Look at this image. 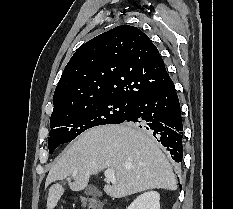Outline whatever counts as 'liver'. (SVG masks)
<instances>
[{
	"label": "liver",
	"mask_w": 233,
	"mask_h": 209,
	"mask_svg": "<svg viewBox=\"0 0 233 209\" xmlns=\"http://www.w3.org/2000/svg\"><path fill=\"white\" fill-rule=\"evenodd\" d=\"M113 169L116 183L104 186L107 195L122 198L150 189L176 190V178L166 156L149 133L132 124L105 125L87 130L58 158L45 186L67 178L72 191H81L89 177ZM60 183L50 186L47 209L64 194Z\"/></svg>",
	"instance_id": "6515ba94"
}]
</instances>
